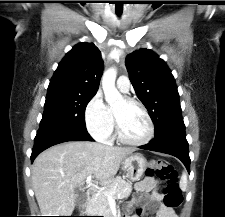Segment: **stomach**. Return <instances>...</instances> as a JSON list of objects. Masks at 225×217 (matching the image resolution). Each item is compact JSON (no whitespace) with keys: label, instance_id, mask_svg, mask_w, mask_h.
<instances>
[{"label":"stomach","instance_id":"1","mask_svg":"<svg viewBox=\"0 0 225 217\" xmlns=\"http://www.w3.org/2000/svg\"><path fill=\"white\" fill-rule=\"evenodd\" d=\"M147 167V160L142 154H131L122 161V170L126 176L137 181L141 178Z\"/></svg>","mask_w":225,"mask_h":217}]
</instances>
